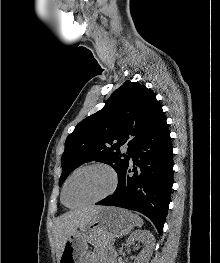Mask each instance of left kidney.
<instances>
[{
  "mask_svg": "<svg viewBox=\"0 0 220 263\" xmlns=\"http://www.w3.org/2000/svg\"><path fill=\"white\" fill-rule=\"evenodd\" d=\"M142 242L144 244L143 250L135 257L134 263H148L152 250L155 244L154 236L148 230L135 231L127 240V247L129 248L134 242Z\"/></svg>",
  "mask_w": 220,
  "mask_h": 263,
  "instance_id": "1",
  "label": "left kidney"
}]
</instances>
